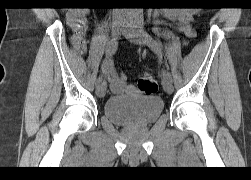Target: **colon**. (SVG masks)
Segmentation results:
<instances>
[{
  "label": "colon",
  "mask_w": 251,
  "mask_h": 180,
  "mask_svg": "<svg viewBox=\"0 0 251 180\" xmlns=\"http://www.w3.org/2000/svg\"><path fill=\"white\" fill-rule=\"evenodd\" d=\"M138 89L146 95L154 94L157 91L155 77L149 73L143 74L138 80Z\"/></svg>",
  "instance_id": "obj_1"
}]
</instances>
